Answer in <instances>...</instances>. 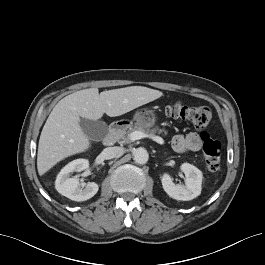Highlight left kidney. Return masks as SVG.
Masks as SVG:
<instances>
[{
	"label": "left kidney",
	"mask_w": 265,
	"mask_h": 265,
	"mask_svg": "<svg viewBox=\"0 0 265 265\" xmlns=\"http://www.w3.org/2000/svg\"><path fill=\"white\" fill-rule=\"evenodd\" d=\"M180 169L186 177L185 185L174 184L171 176L164 173L161 178L162 186L171 198L189 201L200 195L203 175L197 167L189 163H183Z\"/></svg>",
	"instance_id": "left-kidney-1"
}]
</instances>
